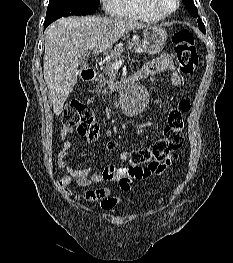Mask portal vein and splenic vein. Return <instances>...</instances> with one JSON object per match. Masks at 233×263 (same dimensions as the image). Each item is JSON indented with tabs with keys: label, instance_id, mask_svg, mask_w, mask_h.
Listing matches in <instances>:
<instances>
[{
	"label": "portal vein and splenic vein",
	"instance_id": "1",
	"mask_svg": "<svg viewBox=\"0 0 233 263\" xmlns=\"http://www.w3.org/2000/svg\"><path fill=\"white\" fill-rule=\"evenodd\" d=\"M96 46H97V42H92L90 48L93 50ZM135 51L138 52V53H141V52H142V50H141L140 48L135 49ZM122 62H123L122 60L116 61V62L112 65V68H113V69L119 68V66L122 64Z\"/></svg>",
	"mask_w": 233,
	"mask_h": 263
}]
</instances>
